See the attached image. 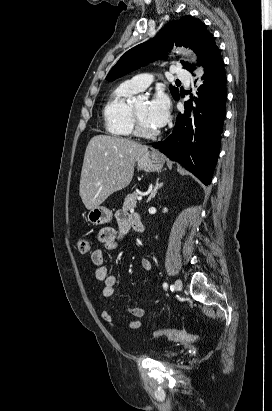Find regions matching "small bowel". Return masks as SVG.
Segmentation results:
<instances>
[{
	"mask_svg": "<svg viewBox=\"0 0 272 411\" xmlns=\"http://www.w3.org/2000/svg\"><path fill=\"white\" fill-rule=\"evenodd\" d=\"M132 215L126 211L117 213L116 220L118 224V229L113 227H104L99 231L98 240L108 251H115L120 240L128 234V232L133 228ZM91 260L96 266L95 276L96 279L103 283L102 295L105 298L112 297L116 292L117 278L110 274L105 263L104 254L101 249H96L91 253ZM141 268L145 272H151L153 269V264L149 259H142L140 261ZM158 301H156L157 303ZM125 312L133 317L129 320L126 325L117 324V328L123 330L125 328H130L133 330H139L143 327V323L140 320L145 315V309L142 307H126ZM102 319L109 324H114V319L112 314L107 310L103 309L101 312Z\"/></svg>",
	"mask_w": 272,
	"mask_h": 411,
	"instance_id": "small-bowel-1",
	"label": "small bowel"
}]
</instances>
